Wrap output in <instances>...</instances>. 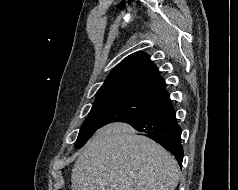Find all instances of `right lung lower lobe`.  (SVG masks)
<instances>
[{
    "instance_id": "98d812e1",
    "label": "right lung lower lobe",
    "mask_w": 238,
    "mask_h": 190,
    "mask_svg": "<svg viewBox=\"0 0 238 190\" xmlns=\"http://www.w3.org/2000/svg\"><path fill=\"white\" fill-rule=\"evenodd\" d=\"M137 131L145 132L151 139L170 151L182 165L181 128L169 95L143 113L123 121Z\"/></svg>"
}]
</instances>
